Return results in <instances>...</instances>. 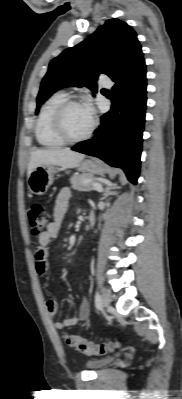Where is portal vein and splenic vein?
<instances>
[{
	"mask_svg": "<svg viewBox=\"0 0 182 399\" xmlns=\"http://www.w3.org/2000/svg\"><path fill=\"white\" fill-rule=\"evenodd\" d=\"M91 186H92L96 191H99V192H102V191H103L102 184H100V183L93 182V183L91 184Z\"/></svg>",
	"mask_w": 182,
	"mask_h": 399,
	"instance_id": "obj_1",
	"label": "portal vein and splenic vein"
}]
</instances>
